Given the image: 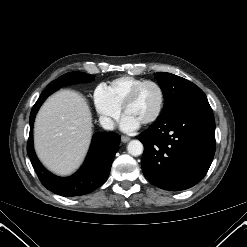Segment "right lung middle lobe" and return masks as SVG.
<instances>
[{"label": "right lung middle lobe", "instance_id": "dd1d6c3e", "mask_svg": "<svg viewBox=\"0 0 247 247\" xmlns=\"http://www.w3.org/2000/svg\"><path fill=\"white\" fill-rule=\"evenodd\" d=\"M93 79L94 76L86 73L70 72L52 81L50 84H48L47 88L59 89L60 87H64L67 85L76 84L80 82H88V81H92Z\"/></svg>", "mask_w": 247, "mask_h": 247}]
</instances>
